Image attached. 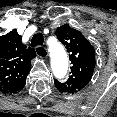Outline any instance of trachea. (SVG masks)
I'll return each instance as SVG.
<instances>
[{"label": "trachea", "instance_id": "obj_1", "mask_svg": "<svg viewBox=\"0 0 117 117\" xmlns=\"http://www.w3.org/2000/svg\"><path fill=\"white\" fill-rule=\"evenodd\" d=\"M44 42L43 35L41 33H36L33 35L31 39V46L36 47V46H42ZM41 47L37 48V51H39Z\"/></svg>", "mask_w": 117, "mask_h": 117}]
</instances>
